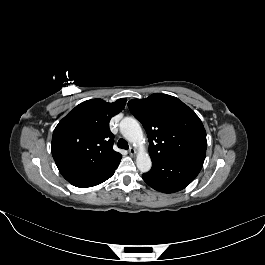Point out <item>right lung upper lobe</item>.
<instances>
[{
    "label": "right lung upper lobe",
    "instance_id": "obj_1",
    "mask_svg": "<svg viewBox=\"0 0 265 265\" xmlns=\"http://www.w3.org/2000/svg\"><path fill=\"white\" fill-rule=\"evenodd\" d=\"M126 99L107 103L92 99L77 105L56 126L52 155L58 169L108 166L121 159L113 150L110 119L125 107Z\"/></svg>",
    "mask_w": 265,
    "mask_h": 265
}]
</instances>
